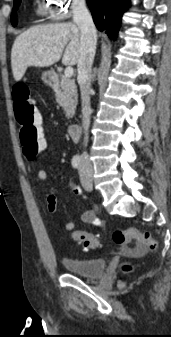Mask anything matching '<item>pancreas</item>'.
I'll return each instance as SVG.
<instances>
[{
    "instance_id": "cf45deb5",
    "label": "pancreas",
    "mask_w": 171,
    "mask_h": 337,
    "mask_svg": "<svg viewBox=\"0 0 171 337\" xmlns=\"http://www.w3.org/2000/svg\"><path fill=\"white\" fill-rule=\"evenodd\" d=\"M57 103L63 107L65 116L72 118L77 105V89L74 81L61 76L60 85L55 89Z\"/></svg>"
}]
</instances>
